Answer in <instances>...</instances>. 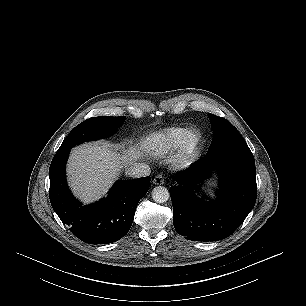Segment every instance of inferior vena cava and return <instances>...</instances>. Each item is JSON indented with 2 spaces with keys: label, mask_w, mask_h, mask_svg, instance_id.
Returning <instances> with one entry per match:
<instances>
[{
  "label": "inferior vena cava",
  "mask_w": 306,
  "mask_h": 306,
  "mask_svg": "<svg viewBox=\"0 0 306 306\" xmlns=\"http://www.w3.org/2000/svg\"><path fill=\"white\" fill-rule=\"evenodd\" d=\"M151 173L150 167L143 163H134L128 170L127 174L134 178L149 176Z\"/></svg>",
  "instance_id": "1"
}]
</instances>
